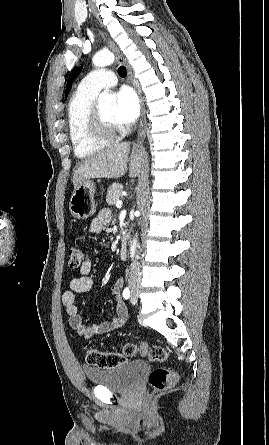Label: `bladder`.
Returning a JSON list of instances; mask_svg holds the SVG:
<instances>
[{"label":"bladder","instance_id":"1","mask_svg":"<svg viewBox=\"0 0 269 445\" xmlns=\"http://www.w3.org/2000/svg\"><path fill=\"white\" fill-rule=\"evenodd\" d=\"M147 367L145 361L134 360L110 369L84 367L83 372L86 380L95 386L111 391H125L139 382Z\"/></svg>","mask_w":269,"mask_h":445}]
</instances>
